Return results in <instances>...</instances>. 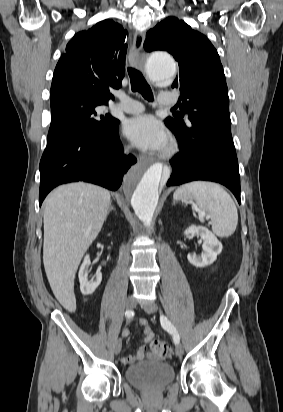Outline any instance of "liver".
Wrapping results in <instances>:
<instances>
[{
    "label": "liver",
    "instance_id": "6515ba94",
    "mask_svg": "<svg viewBox=\"0 0 283 412\" xmlns=\"http://www.w3.org/2000/svg\"><path fill=\"white\" fill-rule=\"evenodd\" d=\"M110 203L108 190L83 182L58 187L44 202V268L53 294L70 312L76 310V271Z\"/></svg>",
    "mask_w": 283,
    "mask_h": 412
}]
</instances>
